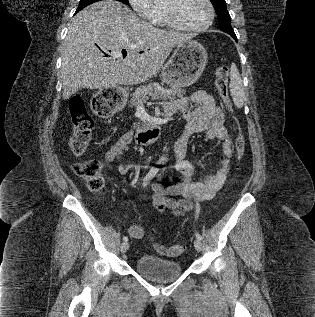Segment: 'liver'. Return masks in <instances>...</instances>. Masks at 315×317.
Wrapping results in <instances>:
<instances>
[{"mask_svg":"<svg viewBox=\"0 0 315 317\" xmlns=\"http://www.w3.org/2000/svg\"><path fill=\"white\" fill-rule=\"evenodd\" d=\"M194 36L155 28L124 4L103 0L80 11L63 42V98L79 89L134 85L152 78L172 49ZM128 54L121 57V50ZM116 58L106 57L108 51Z\"/></svg>","mask_w":315,"mask_h":317,"instance_id":"liver-1","label":"liver"}]
</instances>
